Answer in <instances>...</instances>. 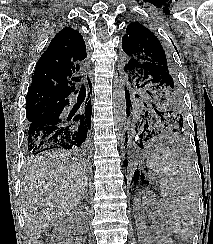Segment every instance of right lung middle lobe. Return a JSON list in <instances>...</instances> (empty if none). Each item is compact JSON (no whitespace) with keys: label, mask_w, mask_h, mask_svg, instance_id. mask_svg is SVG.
<instances>
[{"label":"right lung middle lobe","mask_w":213,"mask_h":244,"mask_svg":"<svg viewBox=\"0 0 213 244\" xmlns=\"http://www.w3.org/2000/svg\"><path fill=\"white\" fill-rule=\"evenodd\" d=\"M64 98L51 95H37L26 98V117L29 122L37 118L50 105L63 101Z\"/></svg>","instance_id":"dd1d6c3e"}]
</instances>
